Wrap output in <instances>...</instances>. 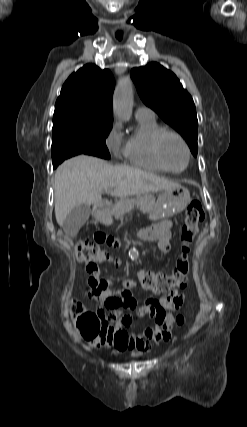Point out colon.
I'll list each match as a JSON object with an SVG mask.
<instances>
[{
  "mask_svg": "<svg viewBox=\"0 0 247 427\" xmlns=\"http://www.w3.org/2000/svg\"><path fill=\"white\" fill-rule=\"evenodd\" d=\"M204 219V210L198 201L191 202L185 212L184 223L181 228L182 253L177 259L176 267L171 274H164L149 269H143L138 274V280L143 289L154 294H166L170 291L183 288L187 284L189 273L188 254L190 247L199 233V225ZM76 257L80 262L96 263L111 259L109 253L96 243L79 240L75 245ZM72 320L81 336L95 345L103 344L106 329L97 313L75 302L72 311ZM186 320L183 315L176 317L178 325Z\"/></svg>",
  "mask_w": 247,
  "mask_h": 427,
  "instance_id": "obj_1",
  "label": "colon"
}]
</instances>
